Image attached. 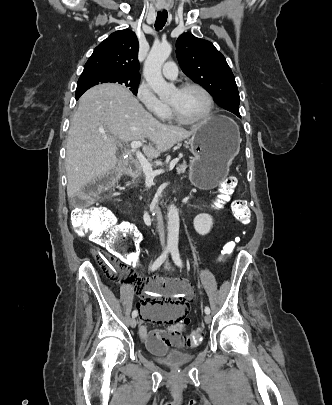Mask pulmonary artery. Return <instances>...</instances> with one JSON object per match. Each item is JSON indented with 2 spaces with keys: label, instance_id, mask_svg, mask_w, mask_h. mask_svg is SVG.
<instances>
[{
  "label": "pulmonary artery",
  "instance_id": "obj_1",
  "mask_svg": "<svg viewBox=\"0 0 332 405\" xmlns=\"http://www.w3.org/2000/svg\"><path fill=\"white\" fill-rule=\"evenodd\" d=\"M163 75L168 79H176L178 75V69L174 62H166L162 69Z\"/></svg>",
  "mask_w": 332,
  "mask_h": 405
}]
</instances>
